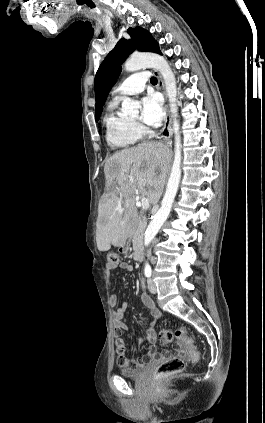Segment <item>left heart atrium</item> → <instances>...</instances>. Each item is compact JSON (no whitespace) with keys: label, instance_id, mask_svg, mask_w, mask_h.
Wrapping results in <instances>:
<instances>
[{"label":"left heart atrium","instance_id":"1","mask_svg":"<svg viewBox=\"0 0 265 423\" xmlns=\"http://www.w3.org/2000/svg\"><path fill=\"white\" fill-rule=\"evenodd\" d=\"M142 121L148 126L158 125L163 117L164 110L160 97L155 93H149L142 98Z\"/></svg>","mask_w":265,"mask_h":423}]
</instances>
